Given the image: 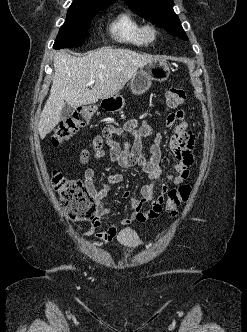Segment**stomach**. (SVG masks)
I'll list each match as a JSON object with an SVG mask.
<instances>
[{"mask_svg":"<svg viewBox=\"0 0 247 332\" xmlns=\"http://www.w3.org/2000/svg\"><path fill=\"white\" fill-rule=\"evenodd\" d=\"M169 74L170 67L167 61L154 58L133 75L129 83L130 90L134 95H141L149 90L152 80L165 81ZM124 104V99L120 95L104 99L102 102V106L107 110H121Z\"/></svg>","mask_w":247,"mask_h":332,"instance_id":"stomach-1","label":"stomach"}]
</instances>
